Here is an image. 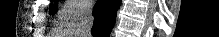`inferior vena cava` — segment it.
<instances>
[{"label":"inferior vena cava","instance_id":"inferior-vena-cava-1","mask_svg":"<svg viewBox=\"0 0 219 37\" xmlns=\"http://www.w3.org/2000/svg\"><path fill=\"white\" fill-rule=\"evenodd\" d=\"M94 17L92 14V8L87 7L85 9L82 20L77 28V36L79 37H91V28L93 26Z\"/></svg>","mask_w":219,"mask_h":37}]
</instances>
